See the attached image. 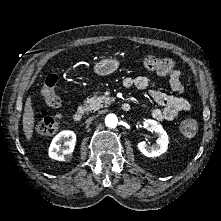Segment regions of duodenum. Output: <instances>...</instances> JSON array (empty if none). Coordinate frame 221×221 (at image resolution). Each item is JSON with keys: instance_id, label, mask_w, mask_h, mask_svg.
<instances>
[{"instance_id": "duodenum-1", "label": "duodenum", "mask_w": 221, "mask_h": 221, "mask_svg": "<svg viewBox=\"0 0 221 221\" xmlns=\"http://www.w3.org/2000/svg\"><path fill=\"white\" fill-rule=\"evenodd\" d=\"M121 108L122 110L124 111H129L131 106L129 103L127 102H123L121 104ZM83 116H84V111L83 109H77L73 114H72V120L74 122H80L82 119H83Z\"/></svg>"}]
</instances>
